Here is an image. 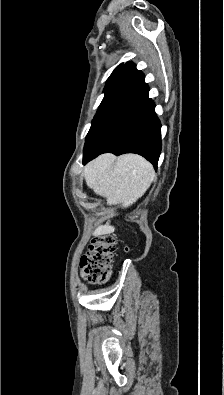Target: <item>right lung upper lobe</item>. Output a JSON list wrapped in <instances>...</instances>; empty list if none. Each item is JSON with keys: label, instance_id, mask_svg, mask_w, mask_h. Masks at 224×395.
Here are the masks:
<instances>
[{"label": "right lung upper lobe", "instance_id": "1", "mask_svg": "<svg viewBox=\"0 0 224 395\" xmlns=\"http://www.w3.org/2000/svg\"><path fill=\"white\" fill-rule=\"evenodd\" d=\"M124 65L125 64L122 63L119 66H117L111 75L118 74L120 72V70L124 67Z\"/></svg>", "mask_w": 224, "mask_h": 395}]
</instances>
